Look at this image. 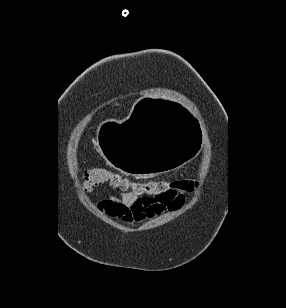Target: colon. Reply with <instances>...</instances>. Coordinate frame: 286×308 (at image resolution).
Here are the masks:
<instances>
[{
    "mask_svg": "<svg viewBox=\"0 0 286 308\" xmlns=\"http://www.w3.org/2000/svg\"><path fill=\"white\" fill-rule=\"evenodd\" d=\"M104 184L138 195L147 194L149 199L163 197L171 190L192 192L198 187L197 182L193 179L131 182L122 174L107 167L92 168L83 175L82 188L85 191Z\"/></svg>",
    "mask_w": 286,
    "mask_h": 308,
    "instance_id": "colon-1",
    "label": "colon"
}]
</instances>
